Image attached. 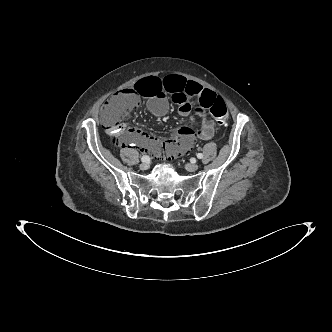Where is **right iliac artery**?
Listing matches in <instances>:
<instances>
[{
    "label": "right iliac artery",
    "mask_w": 332,
    "mask_h": 332,
    "mask_svg": "<svg viewBox=\"0 0 332 332\" xmlns=\"http://www.w3.org/2000/svg\"><path fill=\"white\" fill-rule=\"evenodd\" d=\"M150 160V158H149V156H147V155H144V156H142V158H141V161L142 162H148Z\"/></svg>",
    "instance_id": "82829eb1"
}]
</instances>
